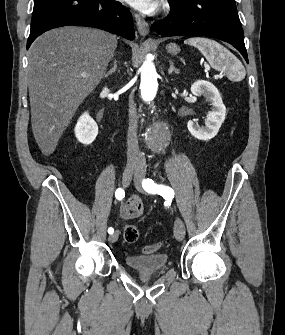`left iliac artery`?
I'll use <instances>...</instances> for the list:
<instances>
[{
  "mask_svg": "<svg viewBox=\"0 0 285 335\" xmlns=\"http://www.w3.org/2000/svg\"><path fill=\"white\" fill-rule=\"evenodd\" d=\"M142 187L148 193L159 194L162 197L167 195L174 196V191L172 188L165 185H158L152 179H144L142 181Z\"/></svg>",
  "mask_w": 285,
  "mask_h": 335,
  "instance_id": "obj_1",
  "label": "left iliac artery"
}]
</instances>
